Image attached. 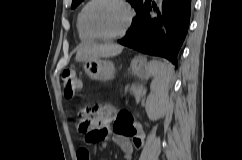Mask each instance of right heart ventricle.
<instances>
[{
  "instance_id": "e07e8e85",
  "label": "right heart ventricle",
  "mask_w": 242,
  "mask_h": 160,
  "mask_svg": "<svg viewBox=\"0 0 242 160\" xmlns=\"http://www.w3.org/2000/svg\"><path fill=\"white\" fill-rule=\"evenodd\" d=\"M81 12L82 10L78 13L77 19H76V28H77V33L81 41L87 42L90 41L94 38L89 36L86 31L84 30L82 23H81Z\"/></svg>"
}]
</instances>
